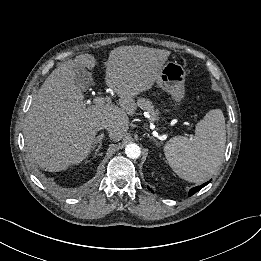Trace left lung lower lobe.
Masks as SVG:
<instances>
[{"mask_svg": "<svg viewBox=\"0 0 261 261\" xmlns=\"http://www.w3.org/2000/svg\"><path fill=\"white\" fill-rule=\"evenodd\" d=\"M209 182H206L200 186L194 187L190 190L189 192V196H192L194 193H196L197 191L201 190L203 187H205ZM149 190H151V188L148 187Z\"/></svg>", "mask_w": 261, "mask_h": 261, "instance_id": "1", "label": "left lung lower lobe"}]
</instances>
